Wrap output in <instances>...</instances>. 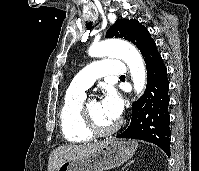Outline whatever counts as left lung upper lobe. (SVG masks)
I'll list each match as a JSON object with an SVG mask.
<instances>
[{"label":"left lung upper lobe","instance_id":"5c2ea615","mask_svg":"<svg viewBox=\"0 0 199 171\" xmlns=\"http://www.w3.org/2000/svg\"><path fill=\"white\" fill-rule=\"evenodd\" d=\"M123 38L131 41L142 51L153 39L150 33L137 20L118 19L106 33V38Z\"/></svg>","mask_w":199,"mask_h":171}]
</instances>
